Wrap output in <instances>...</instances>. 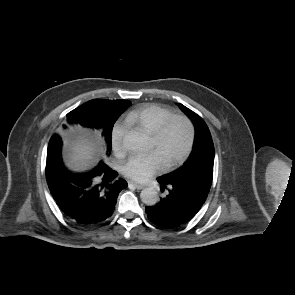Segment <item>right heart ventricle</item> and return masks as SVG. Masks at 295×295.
<instances>
[{
  "label": "right heart ventricle",
  "instance_id": "right-heart-ventricle-1",
  "mask_svg": "<svg viewBox=\"0 0 295 295\" xmlns=\"http://www.w3.org/2000/svg\"><path fill=\"white\" fill-rule=\"evenodd\" d=\"M173 115L174 113L166 107L150 104L129 112L125 121L128 125L135 126L152 135L164 120Z\"/></svg>",
  "mask_w": 295,
  "mask_h": 295
}]
</instances>
